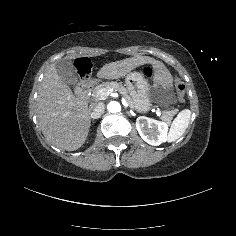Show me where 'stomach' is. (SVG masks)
<instances>
[{
  "instance_id": "0dacf381",
  "label": "stomach",
  "mask_w": 236,
  "mask_h": 236,
  "mask_svg": "<svg viewBox=\"0 0 236 236\" xmlns=\"http://www.w3.org/2000/svg\"><path fill=\"white\" fill-rule=\"evenodd\" d=\"M153 85L139 72H130L125 77L127 90L139 113L149 111L152 103L168 108L176 102L172 79L162 73L153 77Z\"/></svg>"
}]
</instances>
